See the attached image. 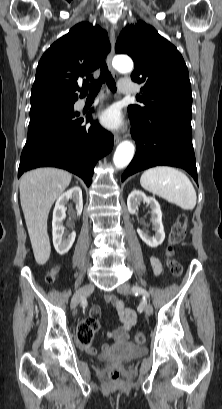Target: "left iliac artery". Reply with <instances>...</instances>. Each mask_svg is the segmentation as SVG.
Instances as JSON below:
<instances>
[{"instance_id":"left-iliac-artery-1","label":"left iliac artery","mask_w":222,"mask_h":409,"mask_svg":"<svg viewBox=\"0 0 222 409\" xmlns=\"http://www.w3.org/2000/svg\"><path fill=\"white\" fill-rule=\"evenodd\" d=\"M132 292H133L135 295L142 294V295L145 296V297H149V293H148L145 289H143V288H141V287H138V286H134V287L132 288Z\"/></svg>"}]
</instances>
